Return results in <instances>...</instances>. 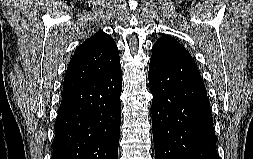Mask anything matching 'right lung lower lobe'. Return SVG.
I'll use <instances>...</instances> for the list:
<instances>
[{
  "instance_id": "obj_1",
  "label": "right lung lower lobe",
  "mask_w": 253,
  "mask_h": 159,
  "mask_svg": "<svg viewBox=\"0 0 253 159\" xmlns=\"http://www.w3.org/2000/svg\"><path fill=\"white\" fill-rule=\"evenodd\" d=\"M121 65L62 96L52 159H118Z\"/></svg>"
}]
</instances>
